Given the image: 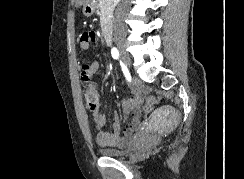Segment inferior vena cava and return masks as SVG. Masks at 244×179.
<instances>
[{"mask_svg": "<svg viewBox=\"0 0 244 179\" xmlns=\"http://www.w3.org/2000/svg\"><path fill=\"white\" fill-rule=\"evenodd\" d=\"M119 14H121V12H118L117 16H119ZM122 30H123V26H122L121 22H119V20H116V22L114 24L115 34H118V32H122Z\"/></svg>", "mask_w": 244, "mask_h": 179, "instance_id": "602c4592", "label": "inferior vena cava"}]
</instances>
